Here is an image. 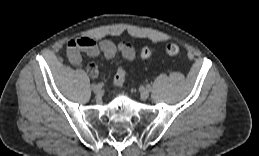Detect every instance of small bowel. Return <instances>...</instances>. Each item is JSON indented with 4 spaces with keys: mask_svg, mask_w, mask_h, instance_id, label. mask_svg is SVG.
<instances>
[{
    "mask_svg": "<svg viewBox=\"0 0 259 156\" xmlns=\"http://www.w3.org/2000/svg\"><path fill=\"white\" fill-rule=\"evenodd\" d=\"M117 51L129 61H132L135 57L134 49L130 44L120 43L119 45H116L108 39L96 41L89 37H80L69 41L67 45L68 59L75 65L81 63L82 53H85L90 57H97L102 54L106 59H112ZM87 72L91 77H97L99 68L96 64L90 63L87 66Z\"/></svg>",
    "mask_w": 259,
    "mask_h": 156,
    "instance_id": "small-bowel-1",
    "label": "small bowel"
}]
</instances>
